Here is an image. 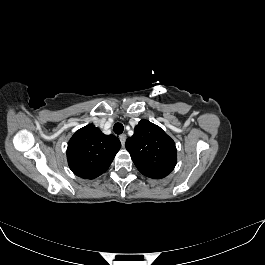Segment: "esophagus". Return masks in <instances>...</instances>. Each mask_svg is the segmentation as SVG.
I'll use <instances>...</instances> for the list:
<instances>
[{"label": "esophagus", "instance_id": "obj_1", "mask_svg": "<svg viewBox=\"0 0 265 265\" xmlns=\"http://www.w3.org/2000/svg\"><path fill=\"white\" fill-rule=\"evenodd\" d=\"M119 139H120V142H121L122 146H124L125 145V142H126V139H127L126 134H121L119 136Z\"/></svg>", "mask_w": 265, "mask_h": 265}]
</instances>
